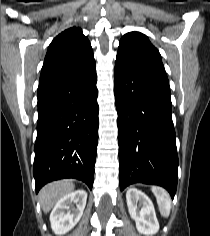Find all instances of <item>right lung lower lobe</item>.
Here are the masks:
<instances>
[{
    "label": "right lung lower lobe",
    "instance_id": "obj_1",
    "mask_svg": "<svg viewBox=\"0 0 210 236\" xmlns=\"http://www.w3.org/2000/svg\"><path fill=\"white\" fill-rule=\"evenodd\" d=\"M96 82L94 66L38 89L36 193L63 178L82 180L92 189L98 143Z\"/></svg>",
    "mask_w": 210,
    "mask_h": 236
}]
</instances>
